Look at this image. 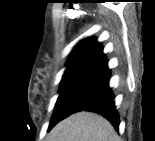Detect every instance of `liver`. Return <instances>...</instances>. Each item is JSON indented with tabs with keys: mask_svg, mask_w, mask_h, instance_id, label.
<instances>
[{
	"mask_svg": "<svg viewBox=\"0 0 155 141\" xmlns=\"http://www.w3.org/2000/svg\"><path fill=\"white\" fill-rule=\"evenodd\" d=\"M48 141H119L113 126L100 115L79 112L58 123Z\"/></svg>",
	"mask_w": 155,
	"mask_h": 141,
	"instance_id": "obj_1",
	"label": "liver"
}]
</instances>
